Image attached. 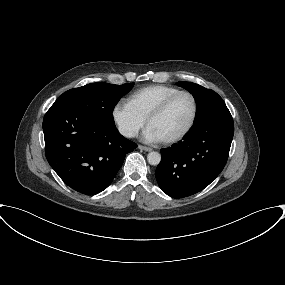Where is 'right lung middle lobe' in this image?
Listing matches in <instances>:
<instances>
[{
    "label": "right lung middle lobe",
    "instance_id": "1",
    "mask_svg": "<svg viewBox=\"0 0 285 285\" xmlns=\"http://www.w3.org/2000/svg\"><path fill=\"white\" fill-rule=\"evenodd\" d=\"M134 83L113 85L92 83L71 89L63 93L54 104H63L75 108L100 122L114 125L113 110L115 105L129 92Z\"/></svg>",
    "mask_w": 285,
    "mask_h": 285
}]
</instances>
